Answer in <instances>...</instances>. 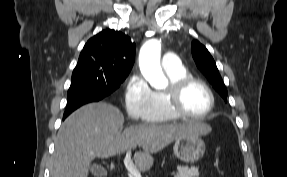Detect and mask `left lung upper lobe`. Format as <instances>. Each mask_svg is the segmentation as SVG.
Listing matches in <instances>:
<instances>
[{"instance_id": "1", "label": "left lung upper lobe", "mask_w": 287, "mask_h": 177, "mask_svg": "<svg viewBox=\"0 0 287 177\" xmlns=\"http://www.w3.org/2000/svg\"><path fill=\"white\" fill-rule=\"evenodd\" d=\"M191 50L197 67L204 73L215 90L227 101V89L209 51L196 40L192 42Z\"/></svg>"}]
</instances>
